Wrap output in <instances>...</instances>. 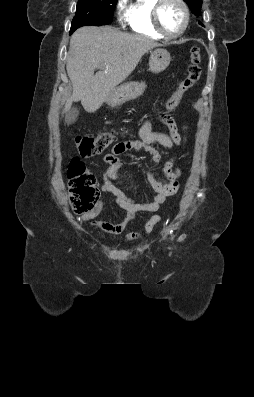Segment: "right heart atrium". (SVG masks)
I'll use <instances>...</instances> for the list:
<instances>
[{"mask_svg":"<svg viewBox=\"0 0 254 397\" xmlns=\"http://www.w3.org/2000/svg\"><path fill=\"white\" fill-rule=\"evenodd\" d=\"M116 9L119 22L124 24L128 19L127 0H118Z\"/></svg>","mask_w":254,"mask_h":397,"instance_id":"obj_1","label":"right heart atrium"}]
</instances>
